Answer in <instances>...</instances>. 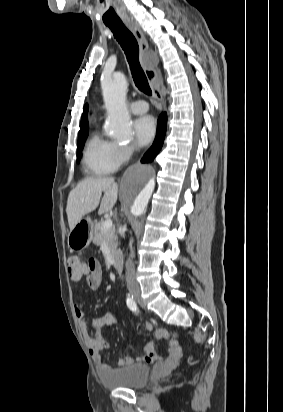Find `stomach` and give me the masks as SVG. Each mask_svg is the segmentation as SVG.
Segmentation results:
<instances>
[{"mask_svg":"<svg viewBox=\"0 0 283 412\" xmlns=\"http://www.w3.org/2000/svg\"><path fill=\"white\" fill-rule=\"evenodd\" d=\"M93 238V223L90 219H82L68 235V246L71 250H83Z\"/></svg>","mask_w":283,"mask_h":412,"instance_id":"1","label":"stomach"}]
</instances>
